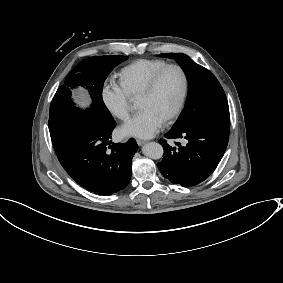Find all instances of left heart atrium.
<instances>
[{"label":"left heart atrium","instance_id":"left-heart-atrium-1","mask_svg":"<svg viewBox=\"0 0 283 283\" xmlns=\"http://www.w3.org/2000/svg\"><path fill=\"white\" fill-rule=\"evenodd\" d=\"M164 121L165 118L155 111L149 108H143L118 129V136L150 138L159 131Z\"/></svg>","mask_w":283,"mask_h":283}]
</instances>
